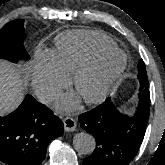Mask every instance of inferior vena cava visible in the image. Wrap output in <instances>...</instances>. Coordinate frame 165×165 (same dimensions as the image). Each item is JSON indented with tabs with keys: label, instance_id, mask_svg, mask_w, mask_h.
Segmentation results:
<instances>
[{
	"label": "inferior vena cava",
	"instance_id": "inferior-vena-cava-1",
	"mask_svg": "<svg viewBox=\"0 0 165 165\" xmlns=\"http://www.w3.org/2000/svg\"><path fill=\"white\" fill-rule=\"evenodd\" d=\"M61 90L56 87L45 86L36 92L38 99L42 103H50L60 96Z\"/></svg>",
	"mask_w": 165,
	"mask_h": 165
}]
</instances>
